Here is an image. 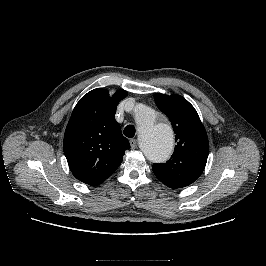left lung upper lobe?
Instances as JSON below:
<instances>
[{
    "label": "left lung upper lobe",
    "instance_id": "1",
    "mask_svg": "<svg viewBox=\"0 0 266 266\" xmlns=\"http://www.w3.org/2000/svg\"><path fill=\"white\" fill-rule=\"evenodd\" d=\"M154 100L171 121L177 145L166 163L153 164V172L170 188L188 186L205 168L209 154L207 133L194 107L182 96L157 93Z\"/></svg>",
    "mask_w": 266,
    "mask_h": 266
}]
</instances>
